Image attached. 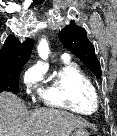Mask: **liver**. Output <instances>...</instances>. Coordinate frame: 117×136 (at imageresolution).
<instances>
[{"label":"liver","mask_w":117,"mask_h":136,"mask_svg":"<svg viewBox=\"0 0 117 136\" xmlns=\"http://www.w3.org/2000/svg\"><path fill=\"white\" fill-rule=\"evenodd\" d=\"M86 126L81 118L64 110H27L25 103L10 92L0 93V136H69Z\"/></svg>","instance_id":"liver-1"}]
</instances>
